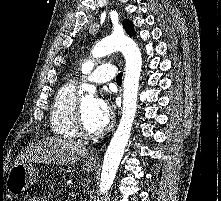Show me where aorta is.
<instances>
[{"label": "aorta", "instance_id": "obj_1", "mask_svg": "<svg viewBox=\"0 0 221 201\" xmlns=\"http://www.w3.org/2000/svg\"><path fill=\"white\" fill-rule=\"evenodd\" d=\"M115 51H121L126 60V70L123 85V108L120 123L114 133L104 155L100 185V193L105 194L112 186L126 145L130 138L133 121L137 110V96L142 67V56L136 43L125 35H110L99 41L92 50L94 58L107 56ZM93 62L82 65V72L87 74L93 69ZM82 89L89 90L88 84H82Z\"/></svg>", "mask_w": 221, "mask_h": 201}]
</instances>
